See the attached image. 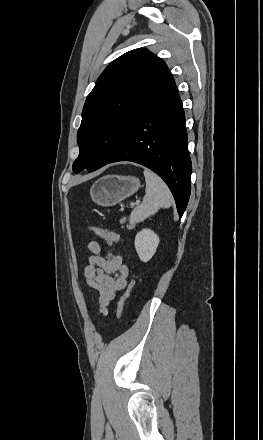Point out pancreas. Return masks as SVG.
<instances>
[{"label":"pancreas","instance_id":"pancreas-1","mask_svg":"<svg viewBox=\"0 0 263 440\" xmlns=\"http://www.w3.org/2000/svg\"><path fill=\"white\" fill-rule=\"evenodd\" d=\"M126 222V217H123L121 220H120V223L121 224H124ZM132 226L131 225H129L128 226V228L130 229Z\"/></svg>","mask_w":263,"mask_h":440}]
</instances>
